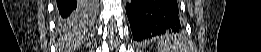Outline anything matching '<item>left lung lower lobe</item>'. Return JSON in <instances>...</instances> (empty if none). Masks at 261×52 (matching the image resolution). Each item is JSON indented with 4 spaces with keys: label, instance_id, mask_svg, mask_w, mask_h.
Segmentation results:
<instances>
[{
    "label": "left lung lower lobe",
    "instance_id": "1",
    "mask_svg": "<svg viewBox=\"0 0 261 52\" xmlns=\"http://www.w3.org/2000/svg\"><path fill=\"white\" fill-rule=\"evenodd\" d=\"M126 13L137 41L179 32L181 27L176 0H133L127 4Z\"/></svg>",
    "mask_w": 261,
    "mask_h": 52
}]
</instances>
